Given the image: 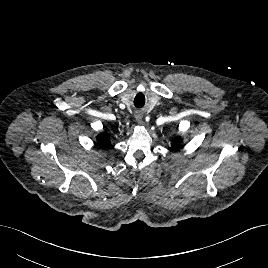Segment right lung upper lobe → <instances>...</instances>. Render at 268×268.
<instances>
[{"label":"right lung upper lobe","instance_id":"cb5924a9","mask_svg":"<svg viewBox=\"0 0 268 268\" xmlns=\"http://www.w3.org/2000/svg\"><path fill=\"white\" fill-rule=\"evenodd\" d=\"M97 141L101 148H107L108 146H110V140L105 133L98 135Z\"/></svg>","mask_w":268,"mask_h":268}]
</instances>
